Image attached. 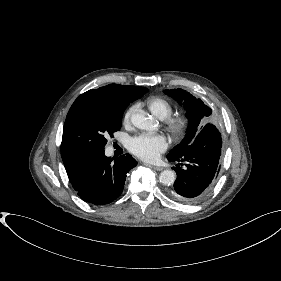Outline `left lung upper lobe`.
<instances>
[{"mask_svg": "<svg viewBox=\"0 0 281 281\" xmlns=\"http://www.w3.org/2000/svg\"><path fill=\"white\" fill-rule=\"evenodd\" d=\"M165 93L180 104H184L186 115L189 120V130L186 137L167 155L168 157H180L185 153L187 147L195 140L198 133L202 130L204 121L211 115V109L200 99H197L189 92H186V90L171 89L165 90Z\"/></svg>", "mask_w": 281, "mask_h": 281, "instance_id": "obj_1", "label": "left lung upper lobe"}]
</instances>
